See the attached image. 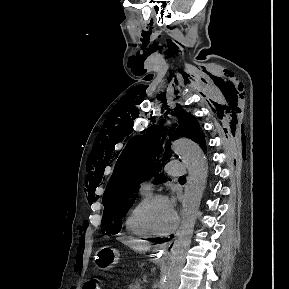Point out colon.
<instances>
[{
	"mask_svg": "<svg viewBox=\"0 0 289 289\" xmlns=\"http://www.w3.org/2000/svg\"><path fill=\"white\" fill-rule=\"evenodd\" d=\"M85 289H103L101 283L96 280H91L87 282Z\"/></svg>",
	"mask_w": 289,
	"mask_h": 289,
	"instance_id": "obj_1",
	"label": "colon"
}]
</instances>
